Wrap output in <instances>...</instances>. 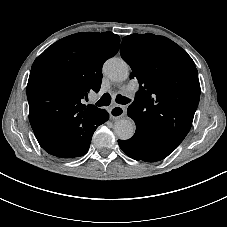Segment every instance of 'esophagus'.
<instances>
[{
  "label": "esophagus",
  "instance_id": "esophagus-1",
  "mask_svg": "<svg viewBox=\"0 0 227 227\" xmlns=\"http://www.w3.org/2000/svg\"><path fill=\"white\" fill-rule=\"evenodd\" d=\"M125 114V108L120 105H115L109 110L110 119L115 120L121 118Z\"/></svg>",
  "mask_w": 227,
  "mask_h": 227
}]
</instances>
